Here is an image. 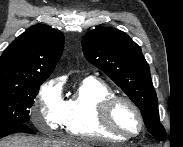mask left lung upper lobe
I'll use <instances>...</instances> for the list:
<instances>
[{
  "instance_id": "obj_1",
  "label": "left lung upper lobe",
  "mask_w": 183,
  "mask_h": 147,
  "mask_svg": "<svg viewBox=\"0 0 183 147\" xmlns=\"http://www.w3.org/2000/svg\"><path fill=\"white\" fill-rule=\"evenodd\" d=\"M82 48L86 59L106 73L140 109L148 131L164 141L166 132L141 48L126 33L109 27L87 32Z\"/></svg>"
}]
</instances>
